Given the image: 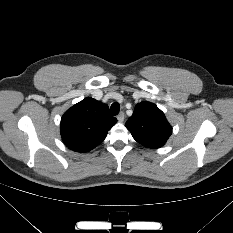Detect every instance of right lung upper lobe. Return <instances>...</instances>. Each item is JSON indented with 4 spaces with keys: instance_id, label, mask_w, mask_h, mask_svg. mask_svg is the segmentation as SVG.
<instances>
[{
    "instance_id": "1",
    "label": "right lung upper lobe",
    "mask_w": 233,
    "mask_h": 233,
    "mask_svg": "<svg viewBox=\"0 0 233 233\" xmlns=\"http://www.w3.org/2000/svg\"><path fill=\"white\" fill-rule=\"evenodd\" d=\"M116 122L106 104L87 97L62 116V140L73 151L88 152L103 142Z\"/></svg>"
}]
</instances>
